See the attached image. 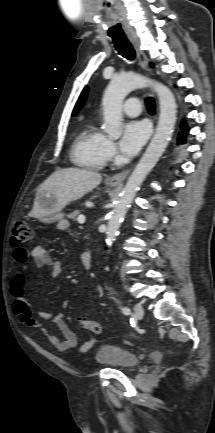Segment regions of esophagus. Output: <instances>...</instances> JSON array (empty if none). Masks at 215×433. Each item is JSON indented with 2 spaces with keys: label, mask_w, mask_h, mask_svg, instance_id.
<instances>
[{
  "label": "esophagus",
  "mask_w": 215,
  "mask_h": 433,
  "mask_svg": "<svg viewBox=\"0 0 215 433\" xmlns=\"http://www.w3.org/2000/svg\"><path fill=\"white\" fill-rule=\"evenodd\" d=\"M127 36H128V39L130 40V42L132 43L135 51H136L140 66L144 70L148 71L149 70L148 69V60H147L146 54L141 49L139 37L137 36V34L135 32H130L127 34ZM129 173H130V169L123 170L122 172L115 174L112 177H110L108 179V183L110 185H113V186L121 185L123 183V181L129 175Z\"/></svg>",
  "instance_id": "34e87169"
}]
</instances>
